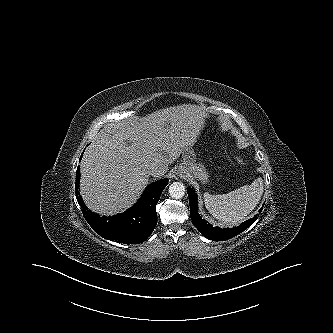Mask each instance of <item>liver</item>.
Returning a JSON list of instances; mask_svg holds the SVG:
<instances>
[{
  "label": "liver",
  "mask_w": 333,
  "mask_h": 333,
  "mask_svg": "<svg viewBox=\"0 0 333 333\" xmlns=\"http://www.w3.org/2000/svg\"><path fill=\"white\" fill-rule=\"evenodd\" d=\"M203 127L201 109L190 104L155 111L136 125L106 126L81 161L87 207L107 216L132 206L148 184L149 169L158 167L164 175L181 154L192 151Z\"/></svg>",
  "instance_id": "1"
}]
</instances>
